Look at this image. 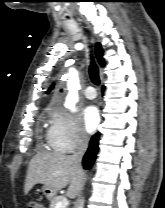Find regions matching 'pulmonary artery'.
I'll return each mask as SVG.
<instances>
[{"mask_svg":"<svg viewBox=\"0 0 165 208\" xmlns=\"http://www.w3.org/2000/svg\"><path fill=\"white\" fill-rule=\"evenodd\" d=\"M84 96L89 100L95 99L96 92H95L94 88L91 86L86 87L84 90Z\"/></svg>","mask_w":165,"mask_h":208,"instance_id":"1","label":"pulmonary artery"}]
</instances>
